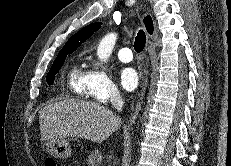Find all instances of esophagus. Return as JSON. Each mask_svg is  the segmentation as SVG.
I'll return each instance as SVG.
<instances>
[{"mask_svg":"<svg viewBox=\"0 0 231 166\" xmlns=\"http://www.w3.org/2000/svg\"><path fill=\"white\" fill-rule=\"evenodd\" d=\"M147 83H148L147 77L144 76L142 79V82H141V89H140V92L138 94V101L136 103V106H135V108L131 114L130 120H129V126H132L137 119V116H138L139 111L141 109V103H142V99H143V96H144V93H145V90L147 87Z\"/></svg>","mask_w":231,"mask_h":166,"instance_id":"1","label":"esophagus"}]
</instances>
